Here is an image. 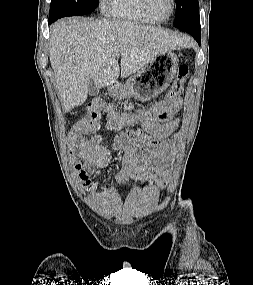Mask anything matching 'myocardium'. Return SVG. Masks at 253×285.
Instances as JSON below:
<instances>
[{"label": "myocardium", "mask_w": 253, "mask_h": 285, "mask_svg": "<svg viewBox=\"0 0 253 285\" xmlns=\"http://www.w3.org/2000/svg\"><path fill=\"white\" fill-rule=\"evenodd\" d=\"M170 1H171V11H170V14L166 18H163V19L155 18L151 14V12L149 11V8H148V0H140V6H141L142 12L144 13V15L149 20H151L153 22H157V23H162V22L168 21L175 13V10H176V0H170Z\"/></svg>", "instance_id": "myocardium-1"}]
</instances>
